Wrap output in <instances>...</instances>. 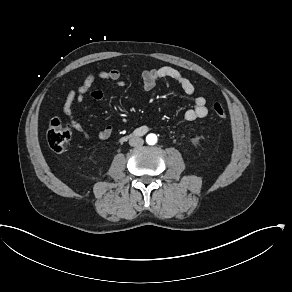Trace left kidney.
Segmentation results:
<instances>
[{
    "mask_svg": "<svg viewBox=\"0 0 292 292\" xmlns=\"http://www.w3.org/2000/svg\"><path fill=\"white\" fill-rule=\"evenodd\" d=\"M195 141L198 142V143H201V139L200 138H196Z\"/></svg>",
    "mask_w": 292,
    "mask_h": 292,
    "instance_id": "left-kidney-1",
    "label": "left kidney"
}]
</instances>
